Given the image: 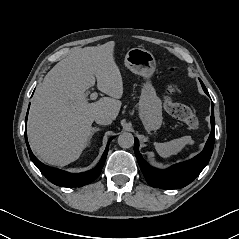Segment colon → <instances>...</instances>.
I'll list each match as a JSON object with an SVG mask.
<instances>
[{
  "label": "colon",
  "instance_id": "obj_1",
  "mask_svg": "<svg viewBox=\"0 0 239 239\" xmlns=\"http://www.w3.org/2000/svg\"><path fill=\"white\" fill-rule=\"evenodd\" d=\"M179 86L172 84L169 86L166 96L164 97V108L173 117L184 122L191 130H198L200 122L195 113L186 105L174 101L173 96L178 92Z\"/></svg>",
  "mask_w": 239,
  "mask_h": 239
}]
</instances>
